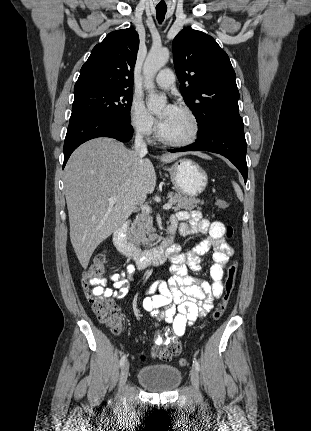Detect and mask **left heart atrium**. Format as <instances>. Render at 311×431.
Segmentation results:
<instances>
[{
    "label": "left heart atrium",
    "mask_w": 311,
    "mask_h": 431,
    "mask_svg": "<svg viewBox=\"0 0 311 431\" xmlns=\"http://www.w3.org/2000/svg\"><path fill=\"white\" fill-rule=\"evenodd\" d=\"M177 109L178 107L176 104L169 103L163 113L159 116L160 124L164 123Z\"/></svg>",
    "instance_id": "1"
}]
</instances>
